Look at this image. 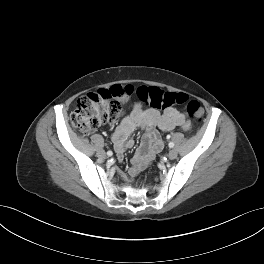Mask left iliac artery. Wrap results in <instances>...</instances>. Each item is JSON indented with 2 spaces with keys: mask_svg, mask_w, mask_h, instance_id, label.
Returning a JSON list of instances; mask_svg holds the SVG:
<instances>
[{
  "mask_svg": "<svg viewBox=\"0 0 264 264\" xmlns=\"http://www.w3.org/2000/svg\"><path fill=\"white\" fill-rule=\"evenodd\" d=\"M167 138H170V135H168ZM168 145H169L170 148L174 147V143L173 142H170Z\"/></svg>",
  "mask_w": 264,
  "mask_h": 264,
  "instance_id": "1",
  "label": "left iliac artery"
}]
</instances>
